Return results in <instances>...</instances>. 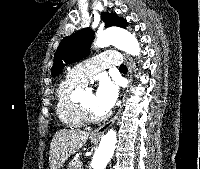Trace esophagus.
<instances>
[{"instance_id": "34e87169", "label": "esophagus", "mask_w": 200, "mask_h": 169, "mask_svg": "<svg viewBox=\"0 0 200 169\" xmlns=\"http://www.w3.org/2000/svg\"><path fill=\"white\" fill-rule=\"evenodd\" d=\"M127 68H128V72H127V79L129 81V86L132 85V81H133V64L130 60V58L128 56H124ZM128 93V89L125 91L124 95H123V101L125 100L126 96ZM122 108L123 106L120 107V109L118 110L117 114L106 124L101 125L100 127H98L97 129H95L92 133L91 136L93 137H99L101 135H103L114 123L115 121L118 119L119 115L122 112Z\"/></svg>"}]
</instances>
